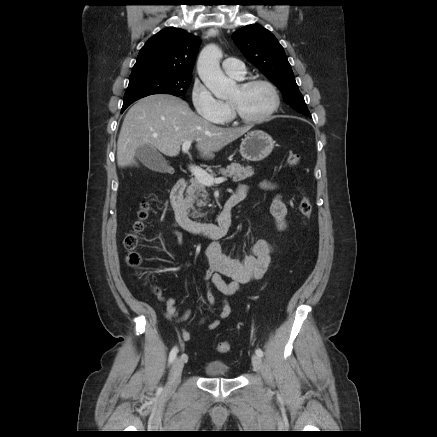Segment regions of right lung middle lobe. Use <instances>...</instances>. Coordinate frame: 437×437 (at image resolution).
Masks as SVG:
<instances>
[{
	"instance_id": "1",
	"label": "right lung middle lobe",
	"mask_w": 437,
	"mask_h": 437,
	"mask_svg": "<svg viewBox=\"0 0 437 437\" xmlns=\"http://www.w3.org/2000/svg\"><path fill=\"white\" fill-rule=\"evenodd\" d=\"M191 80L192 75H171L151 69L132 71L121 111L136 100L153 94L184 96Z\"/></svg>"
}]
</instances>
